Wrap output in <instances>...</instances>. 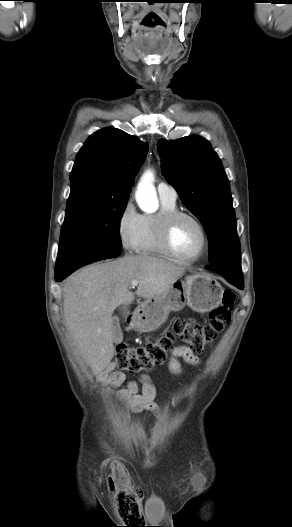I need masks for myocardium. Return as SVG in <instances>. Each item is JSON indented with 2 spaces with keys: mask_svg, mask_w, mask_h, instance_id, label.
<instances>
[{
  "mask_svg": "<svg viewBox=\"0 0 292 527\" xmlns=\"http://www.w3.org/2000/svg\"><path fill=\"white\" fill-rule=\"evenodd\" d=\"M180 218H188L192 220L200 229V232L202 234V247L200 252L191 258H186L181 256L176 252V250L173 248L171 243V232L174 224L177 220ZM157 238L160 247L162 250L171 258L174 260L181 262V263H195L199 261L206 253L209 247V237L206 230V227L202 223V221L195 216L194 214L186 211L181 210H173L169 212L163 213L157 223Z\"/></svg>",
  "mask_w": 292,
  "mask_h": 527,
  "instance_id": "myocardium-1",
  "label": "myocardium"
}]
</instances>
